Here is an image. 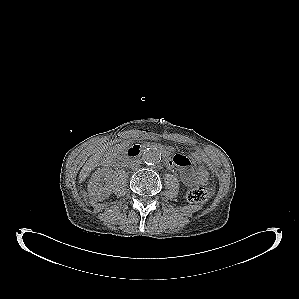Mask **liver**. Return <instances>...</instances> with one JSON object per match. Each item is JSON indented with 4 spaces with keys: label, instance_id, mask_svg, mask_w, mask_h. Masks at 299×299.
Instances as JSON below:
<instances>
[{
    "label": "liver",
    "instance_id": "liver-1",
    "mask_svg": "<svg viewBox=\"0 0 299 299\" xmlns=\"http://www.w3.org/2000/svg\"><path fill=\"white\" fill-rule=\"evenodd\" d=\"M102 154V151H98L93 156H91L90 159L85 163L79 175L80 182H82L89 175V173L96 166H98Z\"/></svg>",
    "mask_w": 299,
    "mask_h": 299
}]
</instances>
